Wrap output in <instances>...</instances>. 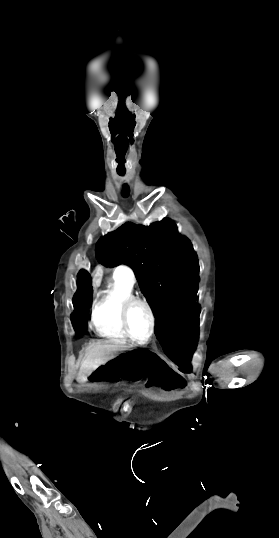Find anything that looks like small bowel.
Returning <instances> with one entry per match:
<instances>
[{
    "instance_id": "small-bowel-1",
    "label": "small bowel",
    "mask_w": 279,
    "mask_h": 538,
    "mask_svg": "<svg viewBox=\"0 0 279 538\" xmlns=\"http://www.w3.org/2000/svg\"><path fill=\"white\" fill-rule=\"evenodd\" d=\"M146 385L163 392H174L185 387V380L171 369L158 370L148 376Z\"/></svg>"
}]
</instances>
